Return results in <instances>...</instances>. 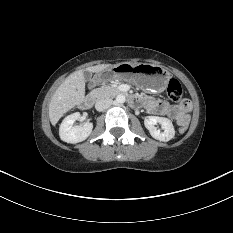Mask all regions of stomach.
Returning <instances> with one entry per match:
<instances>
[{"label":"stomach","mask_w":233,"mask_h":233,"mask_svg":"<svg viewBox=\"0 0 233 233\" xmlns=\"http://www.w3.org/2000/svg\"><path fill=\"white\" fill-rule=\"evenodd\" d=\"M171 78L163 67L150 63H119L94 75V84H103L116 79L134 83L139 88L160 93L164 91Z\"/></svg>","instance_id":"0dacf381"}]
</instances>
